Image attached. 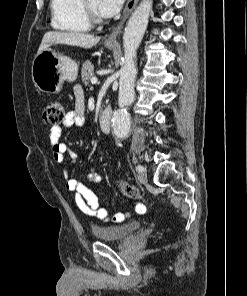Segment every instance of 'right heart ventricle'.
Returning a JSON list of instances; mask_svg holds the SVG:
<instances>
[{
  "mask_svg": "<svg viewBox=\"0 0 247 296\" xmlns=\"http://www.w3.org/2000/svg\"><path fill=\"white\" fill-rule=\"evenodd\" d=\"M51 26L55 30L81 33L90 29L83 9L82 0H51Z\"/></svg>",
  "mask_w": 247,
  "mask_h": 296,
  "instance_id": "right-heart-ventricle-1",
  "label": "right heart ventricle"
}]
</instances>
